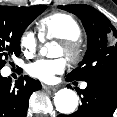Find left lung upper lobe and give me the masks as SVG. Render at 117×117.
Listing matches in <instances>:
<instances>
[{
    "instance_id": "1",
    "label": "left lung upper lobe",
    "mask_w": 117,
    "mask_h": 117,
    "mask_svg": "<svg viewBox=\"0 0 117 117\" xmlns=\"http://www.w3.org/2000/svg\"><path fill=\"white\" fill-rule=\"evenodd\" d=\"M77 15L86 30L88 47L79 67L68 74L71 80L87 81L106 73H117V30L95 8L84 5L58 6Z\"/></svg>"
}]
</instances>
